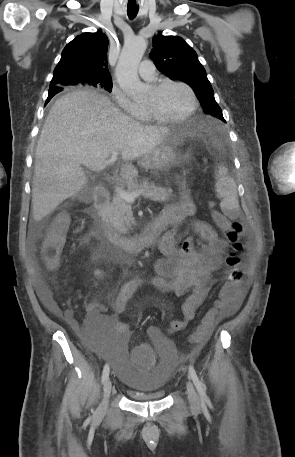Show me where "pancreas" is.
<instances>
[{
  "label": "pancreas",
  "mask_w": 295,
  "mask_h": 457,
  "mask_svg": "<svg viewBox=\"0 0 295 457\" xmlns=\"http://www.w3.org/2000/svg\"><path fill=\"white\" fill-rule=\"evenodd\" d=\"M143 191V196L156 202H166L172 195V190L156 186L154 183L143 181L139 184H128L126 192L132 193ZM108 219L112 223L113 228L119 234L126 235L134 224V217L131 206L116 194L110 204Z\"/></svg>",
  "instance_id": "cf45deb5"
}]
</instances>
